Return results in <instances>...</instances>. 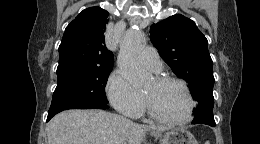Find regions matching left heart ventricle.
Instances as JSON below:
<instances>
[{
	"label": "left heart ventricle",
	"mask_w": 260,
	"mask_h": 144,
	"mask_svg": "<svg viewBox=\"0 0 260 144\" xmlns=\"http://www.w3.org/2000/svg\"><path fill=\"white\" fill-rule=\"evenodd\" d=\"M154 109L162 116L173 119H184L189 110V101L184 90L177 84L156 85L151 80L143 89Z\"/></svg>",
	"instance_id": "1"
}]
</instances>
